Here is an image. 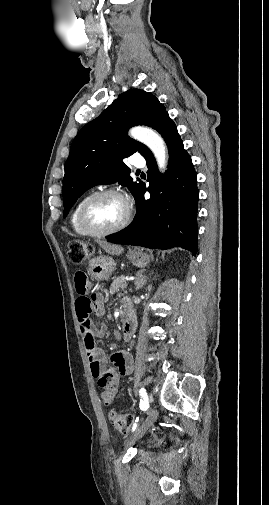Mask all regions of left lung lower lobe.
<instances>
[{
    "label": "left lung lower lobe",
    "instance_id": "0a47b994",
    "mask_svg": "<svg viewBox=\"0 0 269 505\" xmlns=\"http://www.w3.org/2000/svg\"><path fill=\"white\" fill-rule=\"evenodd\" d=\"M169 150L168 170L159 176L157 164L149 150L148 181L135 196L137 212L133 222L108 242L151 249L182 247L197 253V208L199 191L191 157L186 152L177 127L167 114L155 128ZM148 191L150 199L145 200Z\"/></svg>",
    "mask_w": 269,
    "mask_h": 505
}]
</instances>
